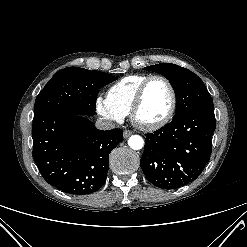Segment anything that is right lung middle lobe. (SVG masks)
Returning <instances> with one entry per match:
<instances>
[{
    "instance_id": "right-lung-middle-lobe-1",
    "label": "right lung middle lobe",
    "mask_w": 247,
    "mask_h": 247,
    "mask_svg": "<svg viewBox=\"0 0 247 247\" xmlns=\"http://www.w3.org/2000/svg\"><path fill=\"white\" fill-rule=\"evenodd\" d=\"M115 80L111 74L99 71L78 67L62 69L37 96L34 118L53 111L94 115L98 90Z\"/></svg>"
}]
</instances>
